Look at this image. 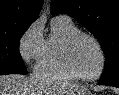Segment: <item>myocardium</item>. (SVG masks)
<instances>
[{
  "label": "myocardium",
  "mask_w": 119,
  "mask_h": 95,
  "mask_svg": "<svg viewBox=\"0 0 119 95\" xmlns=\"http://www.w3.org/2000/svg\"><path fill=\"white\" fill-rule=\"evenodd\" d=\"M85 37L90 39L98 48V51L100 53V67L97 72V74L93 76H83L80 75L74 68L73 63H72V50L74 47V44L76 41L81 38ZM63 62L65 65V68L67 71L75 78L78 80L82 81H94L98 79L104 72L105 69V64H106V56H105V51L103 49V46L101 45L100 41L93 35L83 32V31H77L74 34H72L65 42L64 48H63Z\"/></svg>",
  "instance_id": "f54148a6"
}]
</instances>
